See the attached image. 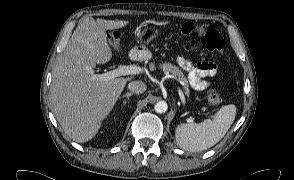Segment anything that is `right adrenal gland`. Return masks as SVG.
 <instances>
[{"label": "right adrenal gland", "mask_w": 294, "mask_h": 180, "mask_svg": "<svg viewBox=\"0 0 294 180\" xmlns=\"http://www.w3.org/2000/svg\"><path fill=\"white\" fill-rule=\"evenodd\" d=\"M133 95L132 92H127L122 98H120V100L122 101L123 99H126L124 101V104H126V102H129L130 97Z\"/></svg>", "instance_id": "2a0ac1e0"}]
</instances>
